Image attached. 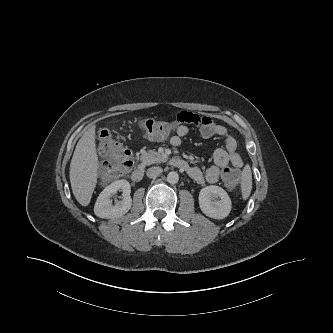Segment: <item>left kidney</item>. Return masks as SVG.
<instances>
[{
    "label": "left kidney",
    "instance_id": "5707ae66",
    "mask_svg": "<svg viewBox=\"0 0 333 333\" xmlns=\"http://www.w3.org/2000/svg\"><path fill=\"white\" fill-rule=\"evenodd\" d=\"M231 199L227 192L215 185L204 187L199 193L201 211L213 219H224L231 211Z\"/></svg>",
    "mask_w": 333,
    "mask_h": 333
}]
</instances>
